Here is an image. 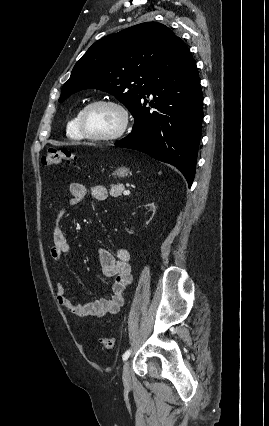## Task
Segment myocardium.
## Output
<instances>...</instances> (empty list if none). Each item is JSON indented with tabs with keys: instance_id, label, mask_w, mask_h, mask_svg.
<instances>
[{
	"instance_id": "1",
	"label": "myocardium",
	"mask_w": 269,
	"mask_h": 426,
	"mask_svg": "<svg viewBox=\"0 0 269 426\" xmlns=\"http://www.w3.org/2000/svg\"><path fill=\"white\" fill-rule=\"evenodd\" d=\"M98 105H104V106L112 107L115 110H117L118 113L120 114V118H121L120 125L118 126V128L114 132H111V133H108V134L97 135V134L90 133L88 131L86 124H85L86 114H87L89 109H91L94 106H98ZM78 124H79L80 131L82 133V136L84 138H87V139H90V140H93V141L111 142V141H115V140L121 138L126 133V131L128 130V127L130 125V115H129L127 108L117 101L110 100V99H96V100L89 102L88 104H86L83 107V109L81 110L80 115H79Z\"/></svg>"
}]
</instances>
